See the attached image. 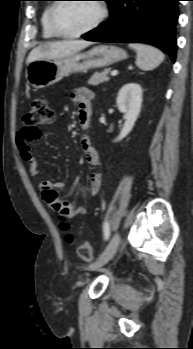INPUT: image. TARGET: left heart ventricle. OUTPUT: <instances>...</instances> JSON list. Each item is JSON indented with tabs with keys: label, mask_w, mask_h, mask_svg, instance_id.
Masks as SVG:
<instances>
[{
	"label": "left heart ventricle",
	"mask_w": 193,
	"mask_h": 349,
	"mask_svg": "<svg viewBox=\"0 0 193 349\" xmlns=\"http://www.w3.org/2000/svg\"><path fill=\"white\" fill-rule=\"evenodd\" d=\"M99 16L96 3L73 2L62 4L55 15L58 29L64 33H76L90 26Z\"/></svg>",
	"instance_id": "obj_1"
}]
</instances>
